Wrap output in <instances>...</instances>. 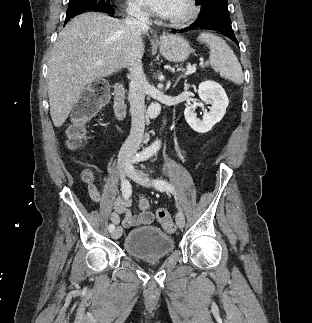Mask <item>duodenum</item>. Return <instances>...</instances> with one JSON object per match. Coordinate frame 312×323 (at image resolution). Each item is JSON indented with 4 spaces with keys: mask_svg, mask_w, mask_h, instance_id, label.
<instances>
[{
    "mask_svg": "<svg viewBox=\"0 0 312 323\" xmlns=\"http://www.w3.org/2000/svg\"><path fill=\"white\" fill-rule=\"evenodd\" d=\"M114 92V112L118 119L123 120L127 114L126 108V89L124 85L117 82L113 88Z\"/></svg>",
    "mask_w": 312,
    "mask_h": 323,
    "instance_id": "410a0bca",
    "label": "duodenum"
}]
</instances>
